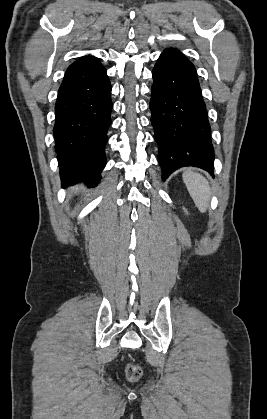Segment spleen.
<instances>
[{"instance_id": "3e777b00", "label": "spleen", "mask_w": 267, "mask_h": 419, "mask_svg": "<svg viewBox=\"0 0 267 419\" xmlns=\"http://www.w3.org/2000/svg\"><path fill=\"white\" fill-rule=\"evenodd\" d=\"M183 181L200 212L205 213L210 201V185L206 178L192 169L183 172Z\"/></svg>"}]
</instances>
